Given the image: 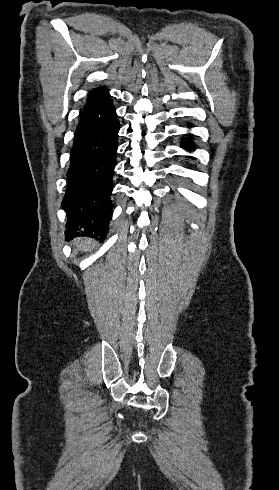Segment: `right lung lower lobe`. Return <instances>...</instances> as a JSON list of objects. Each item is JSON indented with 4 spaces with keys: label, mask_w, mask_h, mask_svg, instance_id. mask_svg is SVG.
Listing matches in <instances>:
<instances>
[{
    "label": "right lung lower lobe",
    "mask_w": 279,
    "mask_h": 490,
    "mask_svg": "<svg viewBox=\"0 0 279 490\" xmlns=\"http://www.w3.org/2000/svg\"><path fill=\"white\" fill-rule=\"evenodd\" d=\"M119 120L90 136L75 139L70 154L62 208L66 240L86 236L103 241L112 213V177L116 165Z\"/></svg>",
    "instance_id": "obj_1"
}]
</instances>
